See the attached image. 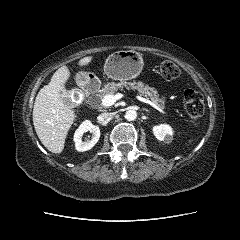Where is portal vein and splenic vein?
<instances>
[{"label": "portal vein and splenic vein", "instance_id": "portal-vein-and-splenic-vein-1", "mask_svg": "<svg viewBox=\"0 0 240 240\" xmlns=\"http://www.w3.org/2000/svg\"><path fill=\"white\" fill-rule=\"evenodd\" d=\"M123 96L124 95L122 93H117L116 95H106V96L103 97V99L101 101V104L105 107L112 106L117 100L121 99ZM136 98L141 102L149 104L150 106H152L153 108L158 110L160 113L167 115V113L162 108H160L158 105H156L155 103H153L149 99L143 98V97L138 96V95L136 96Z\"/></svg>", "mask_w": 240, "mask_h": 240}]
</instances>
